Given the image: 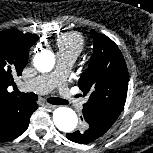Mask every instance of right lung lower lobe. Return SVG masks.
Listing matches in <instances>:
<instances>
[{
    "label": "right lung lower lobe",
    "mask_w": 153,
    "mask_h": 153,
    "mask_svg": "<svg viewBox=\"0 0 153 153\" xmlns=\"http://www.w3.org/2000/svg\"><path fill=\"white\" fill-rule=\"evenodd\" d=\"M38 108L34 102H27L19 110L12 113L0 128V140H12L20 136L28 127L32 113Z\"/></svg>",
    "instance_id": "98d812e1"
}]
</instances>
